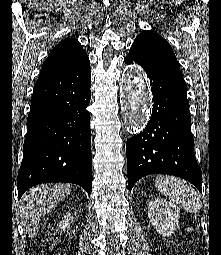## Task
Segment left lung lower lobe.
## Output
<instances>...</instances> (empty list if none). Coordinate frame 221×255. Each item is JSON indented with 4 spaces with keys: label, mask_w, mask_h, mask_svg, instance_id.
<instances>
[{
    "label": "left lung lower lobe",
    "mask_w": 221,
    "mask_h": 255,
    "mask_svg": "<svg viewBox=\"0 0 221 255\" xmlns=\"http://www.w3.org/2000/svg\"><path fill=\"white\" fill-rule=\"evenodd\" d=\"M124 61L137 63L145 70L154 102L146 128L127 140L129 190L146 175L169 174L188 180L201 192L202 174L193 150L184 81L134 50Z\"/></svg>",
    "instance_id": "1"
}]
</instances>
